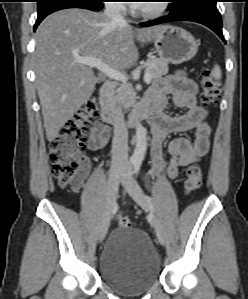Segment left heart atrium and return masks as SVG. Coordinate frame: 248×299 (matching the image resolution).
<instances>
[{
    "label": "left heart atrium",
    "instance_id": "obj_1",
    "mask_svg": "<svg viewBox=\"0 0 248 299\" xmlns=\"http://www.w3.org/2000/svg\"><path fill=\"white\" fill-rule=\"evenodd\" d=\"M132 2H135V3H132V6H135V7H141V6H143V5H141V3H139L140 1H138V0H134Z\"/></svg>",
    "mask_w": 248,
    "mask_h": 299
}]
</instances>
